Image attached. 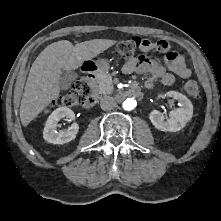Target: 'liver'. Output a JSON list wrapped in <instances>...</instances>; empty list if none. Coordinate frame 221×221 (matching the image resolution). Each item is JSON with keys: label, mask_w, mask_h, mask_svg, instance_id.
<instances>
[{"label": "liver", "mask_w": 221, "mask_h": 221, "mask_svg": "<svg viewBox=\"0 0 221 221\" xmlns=\"http://www.w3.org/2000/svg\"><path fill=\"white\" fill-rule=\"evenodd\" d=\"M116 43L94 39L76 44L61 40L48 45L36 58L29 72L20 105V120L27 126L60 93L61 69L75 70Z\"/></svg>", "instance_id": "liver-1"}]
</instances>
